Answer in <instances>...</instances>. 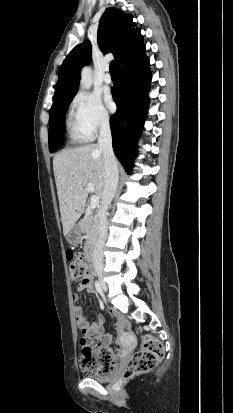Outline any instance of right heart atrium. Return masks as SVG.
Instances as JSON below:
<instances>
[{"instance_id":"right-heart-atrium-1","label":"right heart atrium","mask_w":233,"mask_h":413,"mask_svg":"<svg viewBox=\"0 0 233 413\" xmlns=\"http://www.w3.org/2000/svg\"><path fill=\"white\" fill-rule=\"evenodd\" d=\"M73 103L80 123L90 138L109 126V114L97 94L80 91Z\"/></svg>"}]
</instances>
